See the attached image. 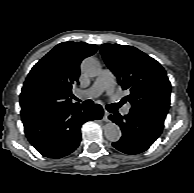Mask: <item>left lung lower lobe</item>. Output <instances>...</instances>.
<instances>
[{"label": "left lung lower lobe", "instance_id": "obj_1", "mask_svg": "<svg viewBox=\"0 0 194 193\" xmlns=\"http://www.w3.org/2000/svg\"><path fill=\"white\" fill-rule=\"evenodd\" d=\"M109 119L118 124L122 137L112 145L126 154H138L147 150L160 136L165 118L131 111L128 115L118 113L110 115Z\"/></svg>", "mask_w": 194, "mask_h": 193}]
</instances>
